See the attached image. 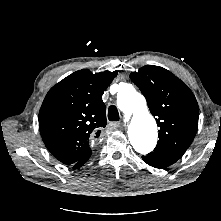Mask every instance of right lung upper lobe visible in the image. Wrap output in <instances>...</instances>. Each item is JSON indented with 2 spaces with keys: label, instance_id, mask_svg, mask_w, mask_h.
Returning <instances> with one entry per match:
<instances>
[{
  "label": "right lung upper lobe",
  "instance_id": "cb5924a9",
  "mask_svg": "<svg viewBox=\"0 0 221 221\" xmlns=\"http://www.w3.org/2000/svg\"><path fill=\"white\" fill-rule=\"evenodd\" d=\"M116 75L79 70L47 93L39 111V128L47 149L62 163L74 165L91 155V140L107 124L102 95Z\"/></svg>",
  "mask_w": 221,
  "mask_h": 221
}]
</instances>
